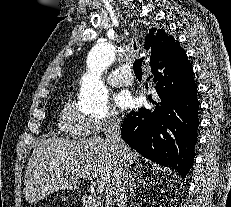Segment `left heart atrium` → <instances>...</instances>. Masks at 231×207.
I'll list each match as a JSON object with an SVG mask.
<instances>
[{
  "label": "left heart atrium",
  "instance_id": "obj_1",
  "mask_svg": "<svg viewBox=\"0 0 231 207\" xmlns=\"http://www.w3.org/2000/svg\"><path fill=\"white\" fill-rule=\"evenodd\" d=\"M114 104L120 110H125L132 105L133 98L129 91L123 90L114 96Z\"/></svg>",
  "mask_w": 231,
  "mask_h": 207
}]
</instances>
